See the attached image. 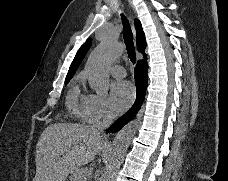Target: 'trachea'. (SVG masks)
<instances>
[{"instance_id": "obj_1", "label": "trachea", "mask_w": 228, "mask_h": 181, "mask_svg": "<svg viewBox=\"0 0 228 181\" xmlns=\"http://www.w3.org/2000/svg\"><path fill=\"white\" fill-rule=\"evenodd\" d=\"M121 20L123 23V38H124V43L126 45L127 54L131 62L135 64L136 52H135L134 43H133L132 30L128 22V19L124 14H121Z\"/></svg>"}]
</instances>
